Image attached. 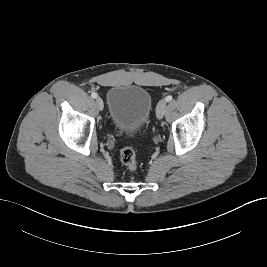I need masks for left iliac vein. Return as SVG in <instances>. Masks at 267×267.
Wrapping results in <instances>:
<instances>
[{"mask_svg": "<svg viewBox=\"0 0 267 267\" xmlns=\"http://www.w3.org/2000/svg\"><path fill=\"white\" fill-rule=\"evenodd\" d=\"M166 105H167L166 100L162 99L159 101V103L156 107V116L158 119L163 118L165 111H166Z\"/></svg>", "mask_w": 267, "mask_h": 267, "instance_id": "4c4485c4", "label": "left iliac vein"}]
</instances>
